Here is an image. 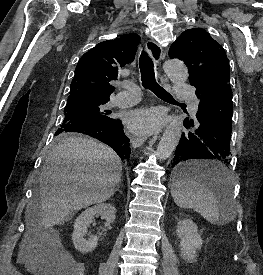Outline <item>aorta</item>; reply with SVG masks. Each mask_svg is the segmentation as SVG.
Returning <instances> with one entry per match:
<instances>
[{"mask_svg":"<svg viewBox=\"0 0 263 275\" xmlns=\"http://www.w3.org/2000/svg\"><path fill=\"white\" fill-rule=\"evenodd\" d=\"M164 71L175 84L184 85L188 80L187 67L180 60L167 61L164 64ZM183 119L182 115H177L167 126L156 150L155 155L158 161L166 160L178 145L181 138Z\"/></svg>","mask_w":263,"mask_h":275,"instance_id":"aorta-1","label":"aorta"}]
</instances>
